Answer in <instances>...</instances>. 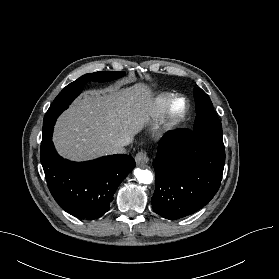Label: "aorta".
Segmentation results:
<instances>
[{"instance_id": "aorta-1", "label": "aorta", "mask_w": 279, "mask_h": 279, "mask_svg": "<svg viewBox=\"0 0 279 279\" xmlns=\"http://www.w3.org/2000/svg\"><path fill=\"white\" fill-rule=\"evenodd\" d=\"M134 175L139 183L150 184L153 181V175L149 170H142L140 168H136L134 170Z\"/></svg>"}]
</instances>
